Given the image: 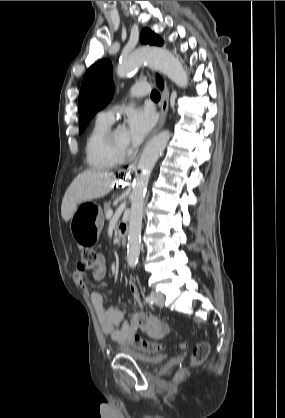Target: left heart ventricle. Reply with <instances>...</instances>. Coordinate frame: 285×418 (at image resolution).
<instances>
[{"mask_svg":"<svg viewBox=\"0 0 285 418\" xmlns=\"http://www.w3.org/2000/svg\"><path fill=\"white\" fill-rule=\"evenodd\" d=\"M113 141L118 147H125L128 144V134L123 128H117L114 131Z\"/></svg>","mask_w":285,"mask_h":418,"instance_id":"b2bd125f","label":"left heart ventricle"}]
</instances>
